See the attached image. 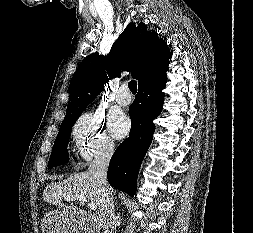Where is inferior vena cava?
<instances>
[{"label":"inferior vena cava","instance_id":"obj_1","mask_svg":"<svg viewBox=\"0 0 253 233\" xmlns=\"http://www.w3.org/2000/svg\"><path fill=\"white\" fill-rule=\"evenodd\" d=\"M114 152V143H106L91 162L88 172L96 179L99 194L100 204L99 209L106 232L113 233L116 227V216L114 210L113 195L110 186L107 183V170L110 159Z\"/></svg>","mask_w":253,"mask_h":233}]
</instances>
